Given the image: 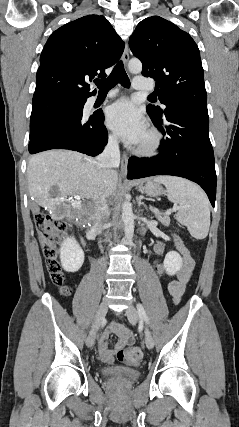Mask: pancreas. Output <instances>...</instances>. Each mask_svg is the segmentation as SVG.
<instances>
[{"label":"pancreas","mask_w":239,"mask_h":427,"mask_svg":"<svg viewBox=\"0 0 239 427\" xmlns=\"http://www.w3.org/2000/svg\"><path fill=\"white\" fill-rule=\"evenodd\" d=\"M151 210L155 213V216L158 221L161 222L164 226H168L170 224V217L168 215H160L158 211L151 208Z\"/></svg>","instance_id":"pancreas-1"}]
</instances>
